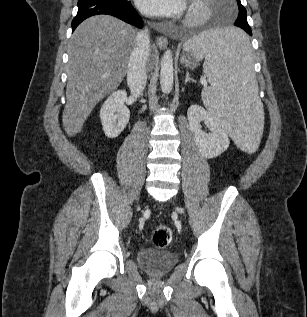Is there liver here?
Masks as SVG:
<instances>
[{
    "label": "liver",
    "instance_id": "1",
    "mask_svg": "<svg viewBox=\"0 0 307 317\" xmlns=\"http://www.w3.org/2000/svg\"><path fill=\"white\" fill-rule=\"evenodd\" d=\"M136 36L132 26L109 15L90 17L76 28L68 48L66 105L62 115L68 135L80 132L95 105L122 82ZM155 57L153 51L151 65Z\"/></svg>",
    "mask_w": 307,
    "mask_h": 317
}]
</instances>
